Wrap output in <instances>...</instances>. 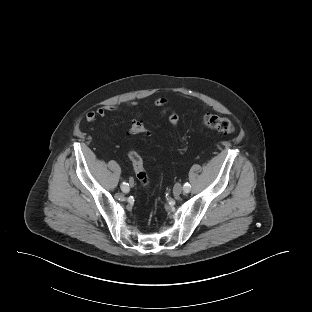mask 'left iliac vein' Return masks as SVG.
<instances>
[{"mask_svg": "<svg viewBox=\"0 0 312 312\" xmlns=\"http://www.w3.org/2000/svg\"><path fill=\"white\" fill-rule=\"evenodd\" d=\"M182 191H183V188L179 183H177L173 188V193L175 196H179L182 193Z\"/></svg>", "mask_w": 312, "mask_h": 312, "instance_id": "obj_1", "label": "left iliac vein"}]
</instances>
